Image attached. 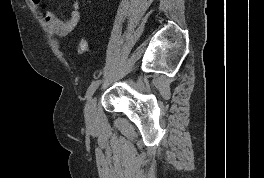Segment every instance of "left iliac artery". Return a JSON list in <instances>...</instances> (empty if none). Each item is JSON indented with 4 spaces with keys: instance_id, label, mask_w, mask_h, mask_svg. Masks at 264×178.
I'll return each instance as SVG.
<instances>
[{
    "instance_id": "obj_1",
    "label": "left iliac artery",
    "mask_w": 264,
    "mask_h": 178,
    "mask_svg": "<svg viewBox=\"0 0 264 178\" xmlns=\"http://www.w3.org/2000/svg\"><path fill=\"white\" fill-rule=\"evenodd\" d=\"M99 84H100V80L99 79H97V80H95V81H93L91 83V85L89 86V88L87 90V93H86L87 99L91 98V96L93 95V93L95 92V90L97 89Z\"/></svg>"
}]
</instances>
